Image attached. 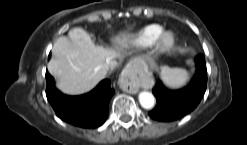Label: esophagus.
Listing matches in <instances>:
<instances>
[{
  "instance_id": "34e87169",
  "label": "esophagus",
  "mask_w": 247,
  "mask_h": 145,
  "mask_svg": "<svg viewBox=\"0 0 247 145\" xmlns=\"http://www.w3.org/2000/svg\"><path fill=\"white\" fill-rule=\"evenodd\" d=\"M142 81L140 72L133 67H127L123 70L120 79V88L130 94H136L139 90V85Z\"/></svg>"
}]
</instances>
